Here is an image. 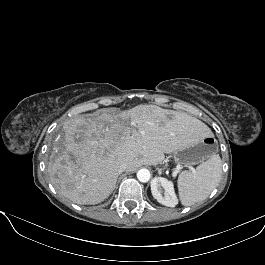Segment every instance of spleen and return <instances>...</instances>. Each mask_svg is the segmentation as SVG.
I'll use <instances>...</instances> for the list:
<instances>
[{"instance_id": "spleen-1", "label": "spleen", "mask_w": 265, "mask_h": 265, "mask_svg": "<svg viewBox=\"0 0 265 265\" xmlns=\"http://www.w3.org/2000/svg\"><path fill=\"white\" fill-rule=\"evenodd\" d=\"M222 161L218 154L212 155L192 171L179 174L177 184L179 198L184 206H192L205 200L220 182Z\"/></svg>"}]
</instances>
